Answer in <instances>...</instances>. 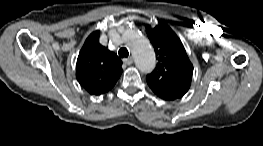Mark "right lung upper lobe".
Listing matches in <instances>:
<instances>
[{
	"label": "right lung upper lobe",
	"mask_w": 263,
	"mask_h": 146,
	"mask_svg": "<svg viewBox=\"0 0 263 146\" xmlns=\"http://www.w3.org/2000/svg\"><path fill=\"white\" fill-rule=\"evenodd\" d=\"M100 31L86 39L76 64V78L91 95H101L113 88L122 74V61L99 43Z\"/></svg>",
	"instance_id": "1"
}]
</instances>
